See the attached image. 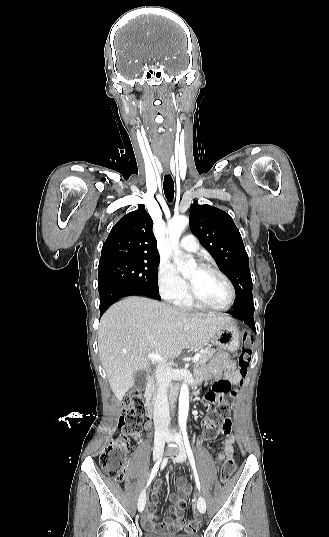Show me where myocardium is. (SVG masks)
<instances>
[{"instance_id": "f54148a6", "label": "myocardium", "mask_w": 329, "mask_h": 537, "mask_svg": "<svg viewBox=\"0 0 329 537\" xmlns=\"http://www.w3.org/2000/svg\"><path fill=\"white\" fill-rule=\"evenodd\" d=\"M200 267L202 269H205V270H208V271L216 273L217 275H219L225 281V283L227 284V286L229 288L230 299H229L228 303L223 305V306L211 305V304L206 303L203 300H201L194 293L191 284H189V298H190V300L196 306L201 307V308H205V309L219 310V311H224V310L230 309L234 305L235 300H236V291H235V288H234V285H233L232 281L229 279V277L223 271H221L218 267H216V266H214L212 264L202 263V264H200Z\"/></svg>"}]
</instances>
